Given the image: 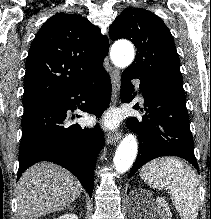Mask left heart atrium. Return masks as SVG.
Returning a JSON list of instances; mask_svg holds the SVG:
<instances>
[{
    "label": "left heart atrium",
    "mask_w": 211,
    "mask_h": 219,
    "mask_svg": "<svg viewBox=\"0 0 211 219\" xmlns=\"http://www.w3.org/2000/svg\"><path fill=\"white\" fill-rule=\"evenodd\" d=\"M105 122L108 126H113L115 123L114 119H112L110 117H108Z\"/></svg>",
    "instance_id": "left-heart-atrium-1"
}]
</instances>
